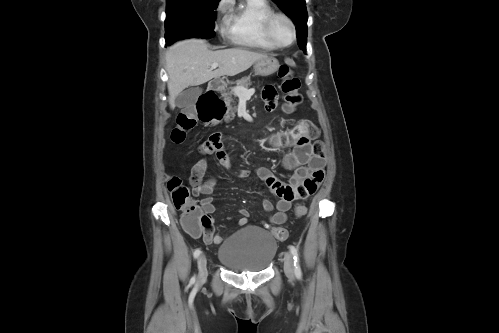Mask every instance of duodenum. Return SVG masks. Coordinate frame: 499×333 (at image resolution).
I'll use <instances>...</instances> for the list:
<instances>
[{
	"label": "duodenum",
	"instance_id": "410a0bca",
	"mask_svg": "<svg viewBox=\"0 0 499 333\" xmlns=\"http://www.w3.org/2000/svg\"><path fill=\"white\" fill-rule=\"evenodd\" d=\"M220 82L219 81H212L207 89V92L206 94L204 95L201 103L199 104V111L200 113L202 114H205L207 115L208 119H212L213 117L215 116H219L221 114V110L219 109H216V108H212V107H209L207 104H206V100L208 99V96L210 94H213L216 96V91L218 90L219 86H220Z\"/></svg>",
	"mask_w": 499,
	"mask_h": 333
}]
</instances>
